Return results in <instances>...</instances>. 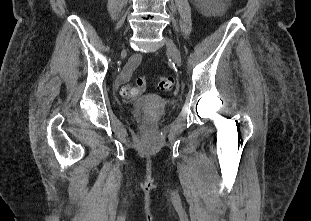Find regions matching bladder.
I'll return each mask as SVG.
<instances>
[{
	"instance_id": "bladder-1",
	"label": "bladder",
	"mask_w": 311,
	"mask_h": 221,
	"mask_svg": "<svg viewBox=\"0 0 311 221\" xmlns=\"http://www.w3.org/2000/svg\"><path fill=\"white\" fill-rule=\"evenodd\" d=\"M143 97H144V100L148 102H151L153 99L150 94L144 95Z\"/></svg>"
}]
</instances>
